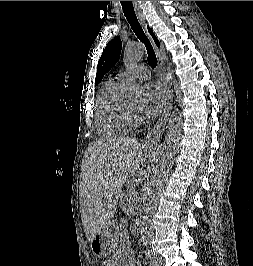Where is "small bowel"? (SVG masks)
<instances>
[{
	"label": "small bowel",
	"instance_id": "c3829d8e",
	"mask_svg": "<svg viewBox=\"0 0 253 266\" xmlns=\"http://www.w3.org/2000/svg\"><path fill=\"white\" fill-rule=\"evenodd\" d=\"M105 266H136L134 259L123 251H117L106 262Z\"/></svg>",
	"mask_w": 253,
	"mask_h": 266
}]
</instances>
